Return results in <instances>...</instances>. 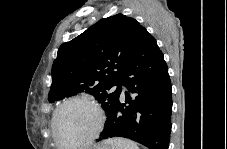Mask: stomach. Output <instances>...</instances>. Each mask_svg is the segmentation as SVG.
Instances as JSON below:
<instances>
[{
	"mask_svg": "<svg viewBox=\"0 0 227 149\" xmlns=\"http://www.w3.org/2000/svg\"><path fill=\"white\" fill-rule=\"evenodd\" d=\"M94 149H109V146L107 144H102V145H98L96 148Z\"/></svg>",
	"mask_w": 227,
	"mask_h": 149,
	"instance_id": "1",
	"label": "stomach"
}]
</instances>
